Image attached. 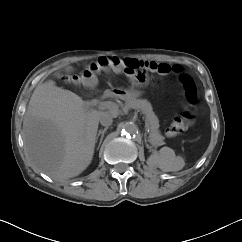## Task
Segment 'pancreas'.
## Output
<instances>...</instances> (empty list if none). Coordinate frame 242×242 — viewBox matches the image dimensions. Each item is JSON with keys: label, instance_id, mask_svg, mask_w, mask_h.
<instances>
[{"label": "pancreas", "instance_id": "cf45deb5", "mask_svg": "<svg viewBox=\"0 0 242 242\" xmlns=\"http://www.w3.org/2000/svg\"><path fill=\"white\" fill-rule=\"evenodd\" d=\"M126 106L132 109H137L145 116V122L150 129V140L153 144H159L163 140V136L159 131V120L153 112L150 102L146 99L131 98L126 101Z\"/></svg>", "mask_w": 242, "mask_h": 242}]
</instances>
